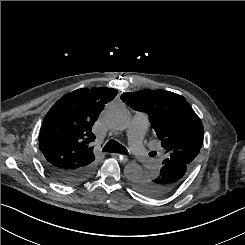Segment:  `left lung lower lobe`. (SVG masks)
Masks as SVG:
<instances>
[{
  "label": "left lung lower lobe",
  "instance_id": "obj_1",
  "mask_svg": "<svg viewBox=\"0 0 245 245\" xmlns=\"http://www.w3.org/2000/svg\"><path fill=\"white\" fill-rule=\"evenodd\" d=\"M190 165L172 162L163 164L159 173L143 175L133 182L134 188L149 197L159 198L175 191L186 179Z\"/></svg>",
  "mask_w": 245,
  "mask_h": 245
}]
</instances>
